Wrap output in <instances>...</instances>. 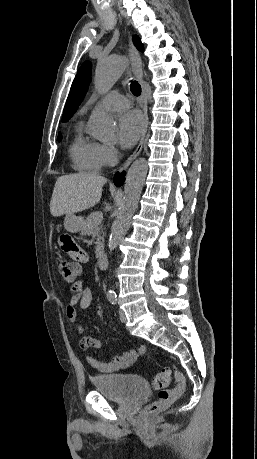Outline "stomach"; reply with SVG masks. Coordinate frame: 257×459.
Segmentation results:
<instances>
[{"label": "stomach", "instance_id": "0dacf381", "mask_svg": "<svg viewBox=\"0 0 257 459\" xmlns=\"http://www.w3.org/2000/svg\"><path fill=\"white\" fill-rule=\"evenodd\" d=\"M84 220L80 216H76L74 213L67 214L64 219V227L71 233H77L82 230Z\"/></svg>", "mask_w": 257, "mask_h": 459}]
</instances>
